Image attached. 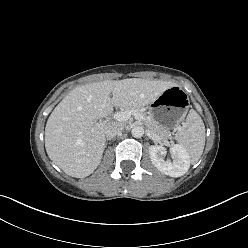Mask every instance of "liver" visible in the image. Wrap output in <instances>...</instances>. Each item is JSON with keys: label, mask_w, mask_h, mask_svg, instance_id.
<instances>
[{"label": "liver", "mask_w": 248, "mask_h": 248, "mask_svg": "<svg viewBox=\"0 0 248 248\" xmlns=\"http://www.w3.org/2000/svg\"><path fill=\"white\" fill-rule=\"evenodd\" d=\"M172 86L175 84L167 81L129 78L74 88L47 120L45 148L49 158L69 176H89L105 149L107 124L95 120L111 114L113 106L136 109L148 105Z\"/></svg>", "instance_id": "liver-1"}]
</instances>
